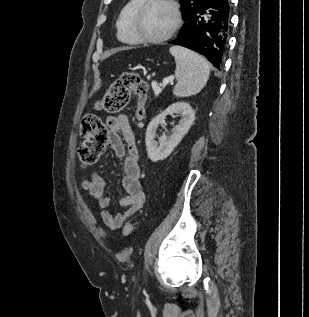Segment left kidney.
Instances as JSON below:
<instances>
[{"label":"left kidney","mask_w":309,"mask_h":317,"mask_svg":"<svg viewBox=\"0 0 309 317\" xmlns=\"http://www.w3.org/2000/svg\"><path fill=\"white\" fill-rule=\"evenodd\" d=\"M173 114L181 116L179 124L174 126L171 135L168 136L164 134L158 138V141H156L157 127L160 124L165 125L166 116ZM194 119L195 112L186 102L173 103L152 119L147 127L145 138L146 149L150 160L157 162L167 158L174 148L181 142L184 135L189 131Z\"/></svg>","instance_id":"1"}]
</instances>
